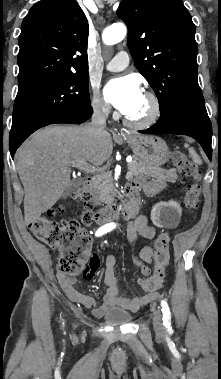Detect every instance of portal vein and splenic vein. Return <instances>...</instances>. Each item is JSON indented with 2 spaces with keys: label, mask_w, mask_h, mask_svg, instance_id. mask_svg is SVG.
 Returning a JSON list of instances; mask_svg holds the SVG:
<instances>
[{
  "label": "portal vein and splenic vein",
  "mask_w": 221,
  "mask_h": 379,
  "mask_svg": "<svg viewBox=\"0 0 221 379\" xmlns=\"http://www.w3.org/2000/svg\"><path fill=\"white\" fill-rule=\"evenodd\" d=\"M128 162H131V161H128ZM75 167L87 172V173H95V172H99L101 171V169L99 168H96L95 166H92L90 164H88L87 162H78L76 164H73ZM132 172L129 170V172L127 173V176L131 175Z\"/></svg>",
  "instance_id": "18ae733b"
}]
</instances>
